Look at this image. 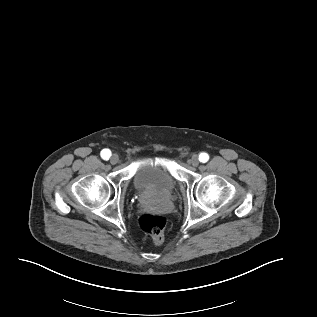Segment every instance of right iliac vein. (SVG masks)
I'll return each instance as SVG.
<instances>
[{"mask_svg": "<svg viewBox=\"0 0 317 317\" xmlns=\"http://www.w3.org/2000/svg\"><path fill=\"white\" fill-rule=\"evenodd\" d=\"M119 162V157L117 155H112L110 158V163L111 164H117Z\"/></svg>", "mask_w": 317, "mask_h": 317, "instance_id": "1", "label": "right iliac vein"}]
</instances>
